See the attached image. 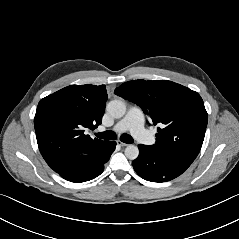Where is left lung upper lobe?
<instances>
[{
    "label": "left lung upper lobe",
    "mask_w": 239,
    "mask_h": 239,
    "mask_svg": "<svg viewBox=\"0 0 239 239\" xmlns=\"http://www.w3.org/2000/svg\"><path fill=\"white\" fill-rule=\"evenodd\" d=\"M114 93L140 106L153 124H160L152 148L192 163L205 136L208 115L200 95L168 80H133Z\"/></svg>",
    "instance_id": "1"
}]
</instances>
